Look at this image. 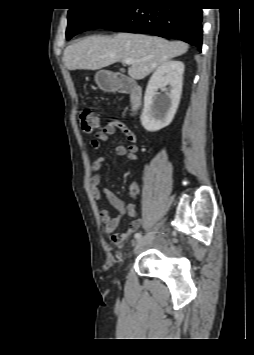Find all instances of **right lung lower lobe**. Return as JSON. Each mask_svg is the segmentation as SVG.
I'll return each mask as SVG.
<instances>
[{
  "label": "right lung lower lobe",
  "mask_w": 254,
  "mask_h": 355,
  "mask_svg": "<svg viewBox=\"0 0 254 355\" xmlns=\"http://www.w3.org/2000/svg\"><path fill=\"white\" fill-rule=\"evenodd\" d=\"M201 22L197 0H134L101 28L176 38L201 49Z\"/></svg>",
  "instance_id": "1"
}]
</instances>
